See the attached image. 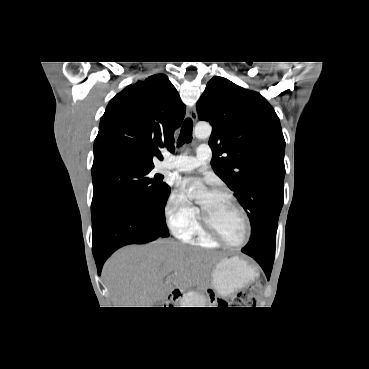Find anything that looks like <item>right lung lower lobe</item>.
<instances>
[{
    "label": "right lung lower lobe",
    "mask_w": 369,
    "mask_h": 369,
    "mask_svg": "<svg viewBox=\"0 0 369 369\" xmlns=\"http://www.w3.org/2000/svg\"><path fill=\"white\" fill-rule=\"evenodd\" d=\"M168 235L159 231L148 210L122 201L107 204L92 219V250L98 273L118 248L148 243Z\"/></svg>",
    "instance_id": "1"
}]
</instances>
